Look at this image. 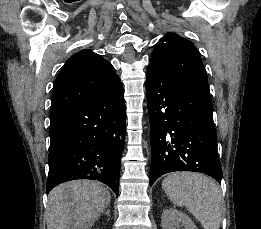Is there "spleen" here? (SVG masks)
<instances>
[{"label": "spleen", "mask_w": 261, "mask_h": 229, "mask_svg": "<svg viewBox=\"0 0 261 229\" xmlns=\"http://www.w3.org/2000/svg\"><path fill=\"white\" fill-rule=\"evenodd\" d=\"M162 189L174 205L186 207L203 229H220L223 197L212 179L202 173L177 171L168 173L162 181Z\"/></svg>", "instance_id": "obj_1"}]
</instances>
